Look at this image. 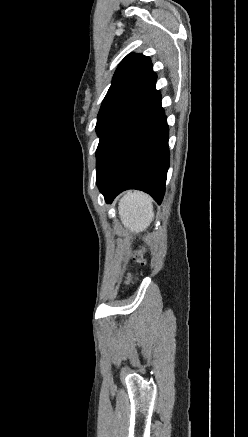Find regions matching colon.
Returning a JSON list of instances; mask_svg holds the SVG:
<instances>
[{"label":"colon","mask_w":248,"mask_h":437,"mask_svg":"<svg viewBox=\"0 0 248 437\" xmlns=\"http://www.w3.org/2000/svg\"><path fill=\"white\" fill-rule=\"evenodd\" d=\"M134 280V277L132 275H129L127 277V283H131Z\"/></svg>","instance_id":"obj_1"}]
</instances>
